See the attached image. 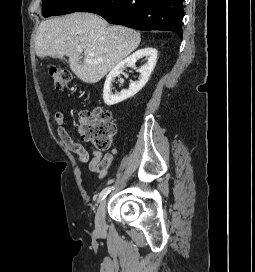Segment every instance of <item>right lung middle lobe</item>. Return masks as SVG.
I'll use <instances>...</instances> for the list:
<instances>
[{"instance_id":"obj_1","label":"right lung middle lobe","mask_w":255,"mask_h":272,"mask_svg":"<svg viewBox=\"0 0 255 272\" xmlns=\"http://www.w3.org/2000/svg\"><path fill=\"white\" fill-rule=\"evenodd\" d=\"M91 0H43V16L50 17L77 12Z\"/></svg>"}]
</instances>
